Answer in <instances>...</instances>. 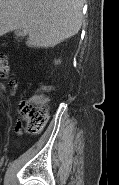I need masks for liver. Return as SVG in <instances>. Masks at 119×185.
Instances as JSON below:
<instances>
[{
	"instance_id": "1",
	"label": "liver",
	"mask_w": 119,
	"mask_h": 185,
	"mask_svg": "<svg viewBox=\"0 0 119 185\" xmlns=\"http://www.w3.org/2000/svg\"><path fill=\"white\" fill-rule=\"evenodd\" d=\"M85 0H0V36L22 29L29 47H54L82 26Z\"/></svg>"
}]
</instances>
